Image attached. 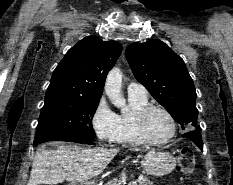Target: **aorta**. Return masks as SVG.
<instances>
[{
	"instance_id": "obj_1",
	"label": "aorta",
	"mask_w": 233,
	"mask_h": 185,
	"mask_svg": "<svg viewBox=\"0 0 233 185\" xmlns=\"http://www.w3.org/2000/svg\"><path fill=\"white\" fill-rule=\"evenodd\" d=\"M122 73L120 69L113 68L107 75L105 92L114 106L119 108L122 113L128 112L126 100L121 93Z\"/></svg>"
}]
</instances>
